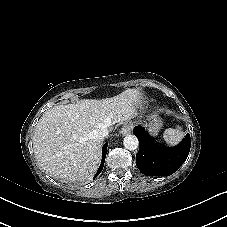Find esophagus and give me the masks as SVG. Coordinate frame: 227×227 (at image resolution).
<instances>
[{
	"label": "esophagus",
	"mask_w": 227,
	"mask_h": 227,
	"mask_svg": "<svg viewBox=\"0 0 227 227\" xmlns=\"http://www.w3.org/2000/svg\"><path fill=\"white\" fill-rule=\"evenodd\" d=\"M132 125L126 124L124 125L120 130V135L125 136L128 135L131 132Z\"/></svg>",
	"instance_id": "obj_1"
}]
</instances>
